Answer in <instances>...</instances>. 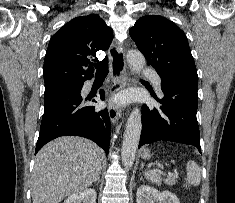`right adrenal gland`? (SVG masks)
Masks as SVG:
<instances>
[{"label": "right adrenal gland", "instance_id": "right-adrenal-gland-1", "mask_svg": "<svg viewBox=\"0 0 235 203\" xmlns=\"http://www.w3.org/2000/svg\"><path fill=\"white\" fill-rule=\"evenodd\" d=\"M94 183L99 184L100 183V174L97 176V178L94 180Z\"/></svg>", "mask_w": 235, "mask_h": 203}]
</instances>
